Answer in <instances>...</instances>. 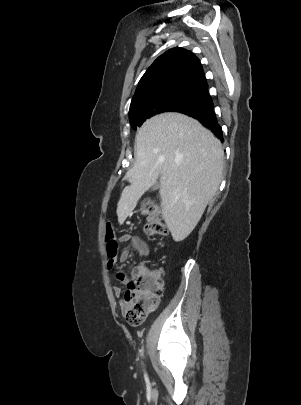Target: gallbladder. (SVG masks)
I'll list each match as a JSON object with an SVG mask.
<instances>
[{
	"instance_id": "obj_1",
	"label": "gallbladder",
	"mask_w": 301,
	"mask_h": 405,
	"mask_svg": "<svg viewBox=\"0 0 301 405\" xmlns=\"http://www.w3.org/2000/svg\"><path fill=\"white\" fill-rule=\"evenodd\" d=\"M159 188V183H156V184H154L153 186H152V189L153 190H156V189H158Z\"/></svg>"
}]
</instances>
